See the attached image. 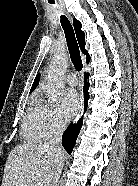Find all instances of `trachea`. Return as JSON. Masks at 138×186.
<instances>
[{"instance_id":"3493384b","label":"trachea","mask_w":138,"mask_h":186,"mask_svg":"<svg viewBox=\"0 0 138 186\" xmlns=\"http://www.w3.org/2000/svg\"><path fill=\"white\" fill-rule=\"evenodd\" d=\"M49 3L54 4V2L49 1ZM61 26L64 30L66 42L68 46V50L70 53L71 61L77 71H81L82 69V60L80 56L79 46L75 37V33L70 21L66 16L61 15L60 17Z\"/></svg>"}]
</instances>
